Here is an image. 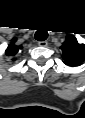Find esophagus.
Masks as SVG:
<instances>
[{
	"label": "esophagus",
	"instance_id": "1",
	"mask_svg": "<svg viewBox=\"0 0 85 118\" xmlns=\"http://www.w3.org/2000/svg\"><path fill=\"white\" fill-rule=\"evenodd\" d=\"M38 45L41 47H45L48 45V42L47 41H40V42H38Z\"/></svg>",
	"mask_w": 85,
	"mask_h": 118
}]
</instances>
